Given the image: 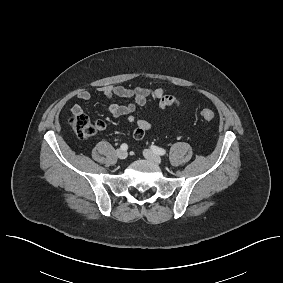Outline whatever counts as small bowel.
<instances>
[{"label":"small bowel","instance_id":"small-bowel-1","mask_svg":"<svg viewBox=\"0 0 283 283\" xmlns=\"http://www.w3.org/2000/svg\"><path fill=\"white\" fill-rule=\"evenodd\" d=\"M99 91L110 100L116 98L132 100L131 103L124 105L112 102L109 106V112L114 118L126 117L128 122L135 123L132 132L135 139H142L151 128L150 122L136 118L137 107L146 105L151 99L158 100L160 110L179 105L178 99L163 88L135 87L130 89L120 85H106L99 87ZM76 96L83 103H87L91 99V94L87 90H80ZM71 111L73 114H78L83 113L84 109L81 105L75 104Z\"/></svg>","mask_w":283,"mask_h":283}]
</instances>
